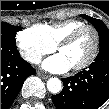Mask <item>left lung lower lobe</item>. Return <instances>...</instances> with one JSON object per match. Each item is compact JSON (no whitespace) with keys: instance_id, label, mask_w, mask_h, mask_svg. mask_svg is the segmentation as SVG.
I'll use <instances>...</instances> for the list:
<instances>
[{"instance_id":"0a47b994","label":"left lung lower lobe","mask_w":109,"mask_h":109,"mask_svg":"<svg viewBox=\"0 0 109 109\" xmlns=\"http://www.w3.org/2000/svg\"><path fill=\"white\" fill-rule=\"evenodd\" d=\"M63 90L52 96L57 109H98L109 99V49L75 76L62 79Z\"/></svg>"}]
</instances>
